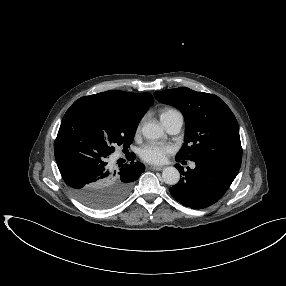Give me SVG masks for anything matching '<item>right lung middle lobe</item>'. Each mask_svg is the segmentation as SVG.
Wrapping results in <instances>:
<instances>
[{
	"instance_id": "1",
	"label": "right lung middle lobe",
	"mask_w": 286,
	"mask_h": 286,
	"mask_svg": "<svg viewBox=\"0 0 286 286\" xmlns=\"http://www.w3.org/2000/svg\"><path fill=\"white\" fill-rule=\"evenodd\" d=\"M140 119L108 102L82 97L67 110L62 123L110 155L116 146L133 142Z\"/></svg>"
}]
</instances>
